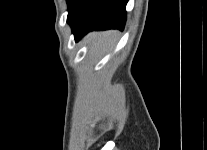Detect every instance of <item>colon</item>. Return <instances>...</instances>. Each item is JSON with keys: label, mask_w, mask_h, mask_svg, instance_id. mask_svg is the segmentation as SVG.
Returning a JSON list of instances; mask_svg holds the SVG:
<instances>
[{"label": "colon", "mask_w": 207, "mask_h": 150, "mask_svg": "<svg viewBox=\"0 0 207 150\" xmlns=\"http://www.w3.org/2000/svg\"><path fill=\"white\" fill-rule=\"evenodd\" d=\"M109 129V125L107 124H102L99 126L98 132L103 133Z\"/></svg>", "instance_id": "colon-1"}]
</instances>
